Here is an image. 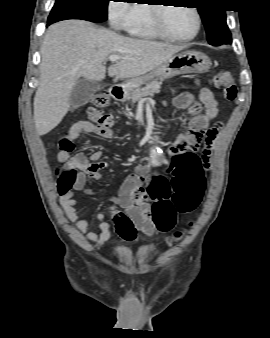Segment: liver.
<instances>
[{
	"label": "liver",
	"mask_w": 270,
	"mask_h": 338,
	"mask_svg": "<svg viewBox=\"0 0 270 338\" xmlns=\"http://www.w3.org/2000/svg\"><path fill=\"white\" fill-rule=\"evenodd\" d=\"M185 46L132 39L81 20L51 25L41 46L40 84L34 97L38 135L54 129L69 110V98L80 78H105L104 62L122 57L108 68L110 77L133 79L162 65Z\"/></svg>",
	"instance_id": "6515ba94"
}]
</instances>
